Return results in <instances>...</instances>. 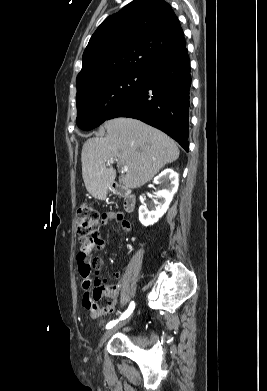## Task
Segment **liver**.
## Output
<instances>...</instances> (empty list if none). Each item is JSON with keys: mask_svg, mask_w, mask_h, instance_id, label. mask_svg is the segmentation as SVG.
I'll use <instances>...</instances> for the list:
<instances>
[{"mask_svg": "<svg viewBox=\"0 0 267 391\" xmlns=\"http://www.w3.org/2000/svg\"><path fill=\"white\" fill-rule=\"evenodd\" d=\"M107 136L90 138L82 148V177L87 191L97 199H105L116 171L108 160L127 166L123 183L140 188L168 163L178 159L179 149L165 133L139 120L115 118L104 123Z\"/></svg>", "mask_w": 267, "mask_h": 391, "instance_id": "1", "label": "liver"}]
</instances>
